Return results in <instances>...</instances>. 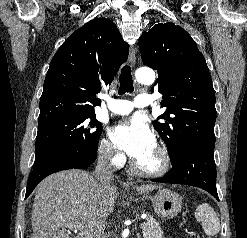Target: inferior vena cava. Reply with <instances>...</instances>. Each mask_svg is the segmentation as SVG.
I'll list each match as a JSON object with an SVG mask.
<instances>
[{
	"mask_svg": "<svg viewBox=\"0 0 247 238\" xmlns=\"http://www.w3.org/2000/svg\"><path fill=\"white\" fill-rule=\"evenodd\" d=\"M112 153H104L99 157L97 165L95 167L94 176L101 182H110L113 180V170L109 164L110 157Z\"/></svg>",
	"mask_w": 247,
	"mask_h": 238,
	"instance_id": "inferior-vena-cava-1",
	"label": "inferior vena cava"
}]
</instances>
